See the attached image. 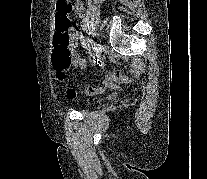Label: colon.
<instances>
[{
    "label": "colon",
    "instance_id": "5ec220e1",
    "mask_svg": "<svg viewBox=\"0 0 207 179\" xmlns=\"http://www.w3.org/2000/svg\"><path fill=\"white\" fill-rule=\"evenodd\" d=\"M72 10L73 6L70 0H59L55 17L54 51L52 55L53 68L59 80L66 78L71 66V51L69 49L71 37L69 30L71 28L70 14ZM131 79V76L125 75L120 71H108L105 73L102 86H89L85 88L84 93L87 95L101 93L117 84L128 83ZM77 94L78 91L74 88L66 90L68 99H74Z\"/></svg>",
    "mask_w": 207,
    "mask_h": 179
}]
</instances>
